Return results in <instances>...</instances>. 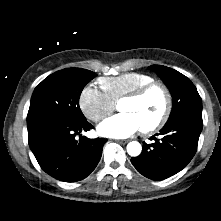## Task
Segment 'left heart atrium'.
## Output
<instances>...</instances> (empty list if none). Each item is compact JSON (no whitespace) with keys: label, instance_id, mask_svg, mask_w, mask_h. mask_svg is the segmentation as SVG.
Segmentation results:
<instances>
[{"label":"left heart atrium","instance_id":"1","mask_svg":"<svg viewBox=\"0 0 221 221\" xmlns=\"http://www.w3.org/2000/svg\"><path fill=\"white\" fill-rule=\"evenodd\" d=\"M142 128L140 121L131 113H120L103 121L98 131L101 135L125 138Z\"/></svg>","mask_w":221,"mask_h":221}]
</instances>
